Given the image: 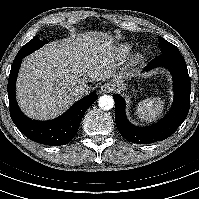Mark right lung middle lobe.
I'll list each match as a JSON object with an SVG mask.
<instances>
[{"mask_svg": "<svg viewBox=\"0 0 199 199\" xmlns=\"http://www.w3.org/2000/svg\"><path fill=\"white\" fill-rule=\"evenodd\" d=\"M44 42H41L37 37H34L30 40L26 45H24L16 56H27L34 52L35 50L39 49Z\"/></svg>", "mask_w": 199, "mask_h": 199, "instance_id": "right-lung-middle-lobe-1", "label": "right lung middle lobe"}]
</instances>
